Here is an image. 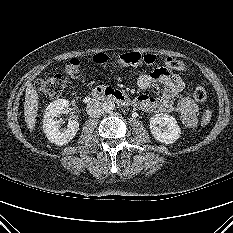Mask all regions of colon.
<instances>
[{
	"label": "colon",
	"instance_id": "obj_1",
	"mask_svg": "<svg viewBox=\"0 0 233 233\" xmlns=\"http://www.w3.org/2000/svg\"><path fill=\"white\" fill-rule=\"evenodd\" d=\"M93 60L97 64H105L108 61V56L106 54L99 53L93 57ZM116 62L123 65H153L157 62V58L153 54H141L139 52L132 51L119 55ZM163 64L166 67L177 71H185L187 69L185 63L174 58L164 59ZM62 72L65 76L71 78L78 77L81 72L80 61L76 58L70 59L63 67ZM35 87L48 98H58L68 88V81L63 75L57 74L38 79L35 83ZM206 96L207 93L204 88L197 87L194 90V100L202 102L206 99ZM211 119V110H206L202 115L201 122L203 125H208L211 122Z\"/></svg>",
	"mask_w": 233,
	"mask_h": 233
}]
</instances>
